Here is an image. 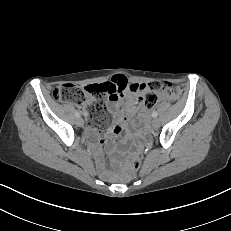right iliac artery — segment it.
<instances>
[{"label":"right iliac artery","mask_w":231,"mask_h":231,"mask_svg":"<svg viewBox=\"0 0 231 231\" xmlns=\"http://www.w3.org/2000/svg\"><path fill=\"white\" fill-rule=\"evenodd\" d=\"M75 115H76V117H80V113L79 112H76Z\"/></svg>","instance_id":"1"}]
</instances>
